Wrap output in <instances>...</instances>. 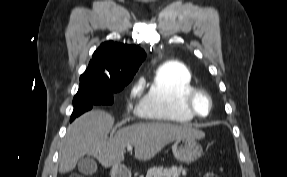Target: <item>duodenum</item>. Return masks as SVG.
I'll list each match as a JSON object with an SVG mask.
<instances>
[{
    "instance_id": "410a0bca",
    "label": "duodenum",
    "mask_w": 287,
    "mask_h": 177,
    "mask_svg": "<svg viewBox=\"0 0 287 177\" xmlns=\"http://www.w3.org/2000/svg\"><path fill=\"white\" fill-rule=\"evenodd\" d=\"M113 177H130V175L126 167L120 166V167L114 168Z\"/></svg>"
}]
</instances>
